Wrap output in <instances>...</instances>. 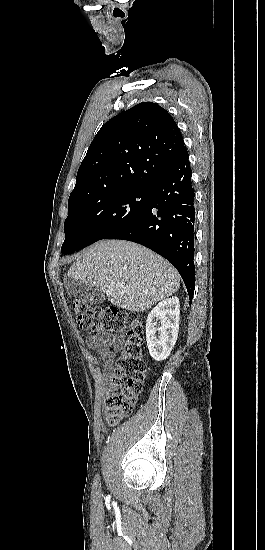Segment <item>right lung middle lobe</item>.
I'll return each instance as SVG.
<instances>
[{"label":"right lung middle lobe","instance_id":"dd1d6c3e","mask_svg":"<svg viewBox=\"0 0 265 550\" xmlns=\"http://www.w3.org/2000/svg\"><path fill=\"white\" fill-rule=\"evenodd\" d=\"M149 193L150 188L129 189L68 203L61 252L83 249L135 219L145 209Z\"/></svg>","mask_w":265,"mask_h":550}]
</instances>
